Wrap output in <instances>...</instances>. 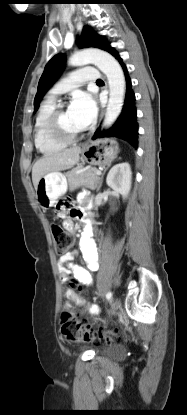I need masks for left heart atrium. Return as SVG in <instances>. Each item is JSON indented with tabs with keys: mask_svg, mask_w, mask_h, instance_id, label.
Returning a JSON list of instances; mask_svg holds the SVG:
<instances>
[{
	"mask_svg": "<svg viewBox=\"0 0 187 415\" xmlns=\"http://www.w3.org/2000/svg\"><path fill=\"white\" fill-rule=\"evenodd\" d=\"M68 111L77 123L85 129L94 121L97 108L90 94L78 92L73 96Z\"/></svg>",
	"mask_w": 187,
	"mask_h": 415,
	"instance_id": "1",
	"label": "left heart atrium"
}]
</instances>
